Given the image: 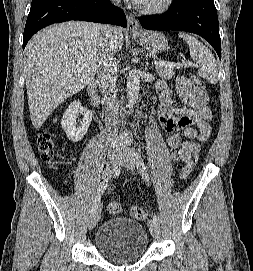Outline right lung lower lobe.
I'll return each instance as SVG.
<instances>
[{
  "label": "right lung lower lobe",
  "instance_id": "obj_1",
  "mask_svg": "<svg viewBox=\"0 0 253 271\" xmlns=\"http://www.w3.org/2000/svg\"><path fill=\"white\" fill-rule=\"evenodd\" d=\"M69 20L109 23L126 27L122 10L110 0H32L24 29L23 48L40 29Z\"/></svg>",
  "mask_w": 253,
  "mask_h": 271
}]
</instances>
